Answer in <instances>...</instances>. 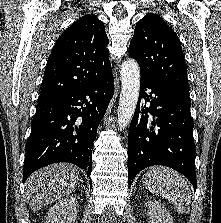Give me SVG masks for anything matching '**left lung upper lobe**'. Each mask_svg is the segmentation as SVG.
Segmentation results:
<instances>
[{
    "label": "left lung upper lobe",
    "instance_id": "left-lung-upper-lobe-1",
    "mask_svg": "<svg viewBox=\"0 0 221 223\" xmlns=\"http://www.w3.org/2000/svg\"><path fill=\"white\" fill-rule=\"evenodd\" d=\"M129 56L137 60L141 77L189 94L181 43L160 16L150 13L138 21Z\"/></svg>",
    "mask_w": 221,
    "mask_h": 223
}]
</instances>
